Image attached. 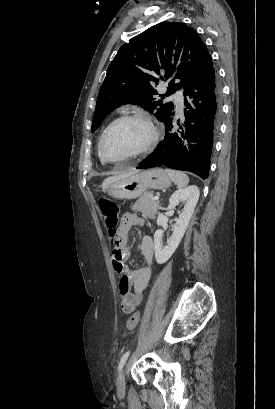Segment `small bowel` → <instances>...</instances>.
Masks as SVG:
<instances>
[{"instance_id": "c3829d8e", "label": "small bowel", "mask_w": 275, "mask_h": 409, "mask_svg": "<svg viewBox=\"0 0 275 409\" xmlns=\"http://www.w3.org/2000/svg\"><path fill=\"white\" fill-rule=\"evenodd\" d=\"M139 223V218L131 213H124L118 229L119 246L112 251V267L120 274L118 283L121 299V308L124 313H131L142 301L144 292L148 286L152 274V262L154 255L153 239L146 235L141 239L140 251L145 259V264L135 270H131L125 261L131 255L128 245L130 229Z\"/></svg>"}]
</instances>
